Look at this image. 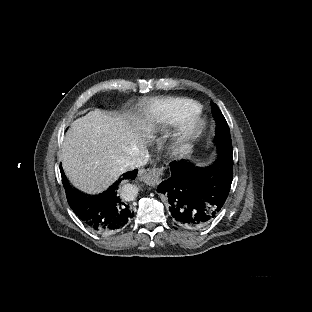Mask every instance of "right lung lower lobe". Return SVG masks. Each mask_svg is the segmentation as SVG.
Returning a JSON list of instances; mask_svg holds the SVG:
<instances>
[{
    "label": "right lung lower lobe",
    "instance_id": "obj_1",
    "mask_svg": "<svg viewBox=\"0 0 312 312\" xmlns=\"http://www.w3.org/2000/svg\"><path fill=\"white\" fill-rule=\"evenodd\" d=\"M60 168L67 201L85 226L100 234H114L128 226L134 212L119 187L123 180H134L137 170L125 173L106 191L90 196L73 189Z\"/></svg>",
    "mask_w": 312,
    "mask_h": 312
}]
</instances>
